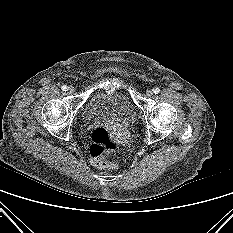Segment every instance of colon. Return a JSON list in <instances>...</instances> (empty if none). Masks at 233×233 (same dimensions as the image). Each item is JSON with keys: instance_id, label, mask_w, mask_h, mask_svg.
Returning <instances> with one entry per match:
<instances>
[{"instance_id": "obj_1", "label": "colon", "mask_w": 233, "mask_h": 233, "mask_svg": "<svg viewBox=\"0 0 233 233\" xmlns=\"http://www.w3.org/2000/svg\"><path fill=\"white\" fill-rule=\"evenodd\" d=\"M118 148L119 142L108 128L97 126L93 129L89 152L94 165L104 169H115L117 164L107 162L106 159L111 157Z\"/></svg>"}]
</instances>
